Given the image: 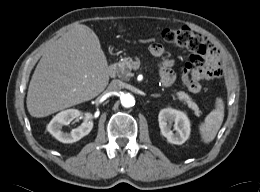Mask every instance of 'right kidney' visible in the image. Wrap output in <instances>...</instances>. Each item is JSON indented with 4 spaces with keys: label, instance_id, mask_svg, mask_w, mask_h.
<instances>
[{
    "label": "right kidney",
    "instance_id": "1",
    "mask_svg": "<svg viewBox=\"0 0 260 192\" xmlns=\"http://www.w3.org/2000/svg\"><path fill=\"white\" fill-rule=\"evenodd\" d=\"M82 117L83 123L72 129L70 133L61 131L63 125H68L75 118ZM93 128L92 114L82 113L77 109L61 111L50 121L47 130L60 142L73 143L88 135Z\"/></svg>",
    "mask_w": 260,
    "mask_h": 192
}]
</instances>
